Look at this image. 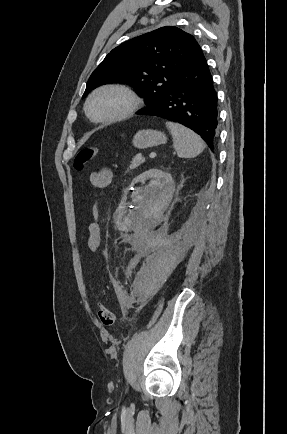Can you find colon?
<instances>
[{"label": "colon", "instance_id": "colon-1", "mask_svg": "<svg viewBox=\"0 0 287 434\" xmlns=\"http://www.w3.org/2000/svg\"><path fill=\"white\" fill-rule=\"evenodd\" d=\"M97 153L98 148L95 146H87L81 148L74 158V168L77 170L84 169V167L95 157ZM97 315L103 326L111 327L114 325L115 314L110 308H108L104 304L99 305Z\"/></svg>", "mask_w": 287, "mask_h": 434}]
</instances>
